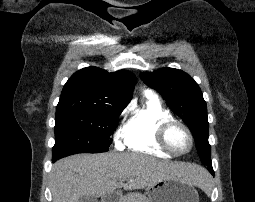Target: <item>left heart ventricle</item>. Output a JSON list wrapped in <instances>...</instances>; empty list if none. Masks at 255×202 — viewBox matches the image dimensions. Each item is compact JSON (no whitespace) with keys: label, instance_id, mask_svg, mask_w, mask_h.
I'll use <instances>...</instances> for the list:
<instances>
[{"label":"left heart ventricle","instance_id":"1","mask_svg":"<svg viewBox=\"0 0 255 202\" xmlns=\"http://www.w3.org/2000/svg\"><path fill=\"white\" fill-rule=\"evenodd\" d=\"M170 146L177 152H184L189 148L190 141L186 132L180 127H174L168 134Z\"/></svg>","mask_w":255,"mask_h":202}]
</instances>
